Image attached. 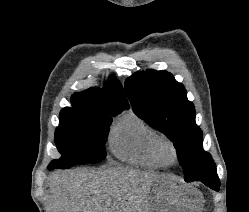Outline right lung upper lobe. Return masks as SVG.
<instances>
[{
    "label": "right lung upper lobe",
    "mask_w": 249,
    "mask_h": 212,
    "mask_svg": "<svg viewBox=\"0 0 249 212\" xmlns=\"http://www.w3.org/2000/svg\"><path fill=\"white\" fill-rule=\"evenodd\" d=\"M102 89L89 88L84 92L75 93L71 97L73 106L90 107L110 110H125L129 108L121 83L115 77H110Z\"/></svg>",
    "instance_id": "right-lung-upper-lobe-1"
}]
</instances>
